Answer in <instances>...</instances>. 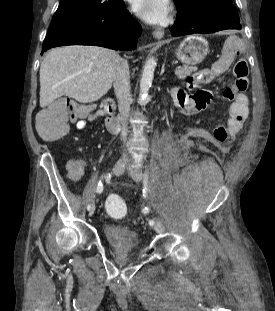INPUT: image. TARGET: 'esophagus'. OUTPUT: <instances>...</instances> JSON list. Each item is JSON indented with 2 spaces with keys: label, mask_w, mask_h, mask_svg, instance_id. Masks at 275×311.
Here are the masks:
<instances>
[{
  "label": "esophagus",
  "mask_w": 275,
  "mask_h": 311,
  "mask_svg": "<svg viewBox=\"0 0 275 311\" xmlns=\"http://www.w3.org/2000/svg\"><path fill=\"white\" fill-rule=\"evenodd\" d=\"M153 35L157 40H161L164 36V30L162 28H157L155 29Z\"/></svg>",
  "instance_id": "34e87169"
}]
</instances>
